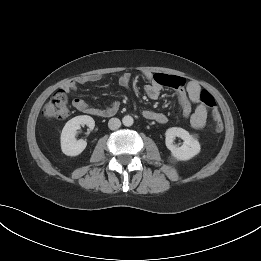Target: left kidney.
I'll use <instances>...</instances> for the list:
<instances>
[{
	"label": "left kidney",
	"mask_w": 261,
	"mask_h": 261,
	"mask_svg": "<svg viewBox=\"0 0 261 261\" xmlns=\"http://www.w3.org/2000/svg\"><path fill=\"white\" fill-rule=\"evenodd\" d=\"M176 137L181 138L184 143L181 147L173 144ZM165 143L167 148L171 151V155L180 161L190 160L199 154L201 147L195 136L188 131L179 127H172L165 132Z\"/></svg>",
	"instance_id": "1"
}]
</instances>
